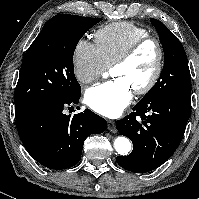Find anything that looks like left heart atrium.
<instances>
[{
  "instance_id": "39dd6f15",
  "label": "left heart atrium",
  "mask_w": 199,
  "mask_h": 199,
  "mask_svg": "<svg viewBox=\"0 0 199 199\" xmlns=\"http://www.w3.org/2000/svg\"><path fill=\"white\" fill-rule=\"evenodd\" d=\"M132 89L123 78H114L105 83L87 89L86 104L98 114L106 117H117L129 105Z\"/></svg>"
}]
</instances>
